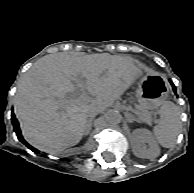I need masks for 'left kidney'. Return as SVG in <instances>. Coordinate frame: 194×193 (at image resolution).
I'll use <instances>...</instances> for the list:
<instances>
[{
	"label": "left kidney",
	"instance_id": "obj_1",
	"mask_svg": "<svg viewBox=\"0 0 194 193\" xmlns=\"http://www.w3.org/2000/svg\"><path fill=\"white\" fill-rule=\"evenodd\" d=\"M132 145L134 154L139 158L154 159L160 154L156 140L147 129L133 131Z\"/></svg>",
	"mask_w": 194,
	"mask_h": 193
}]
</instances>
